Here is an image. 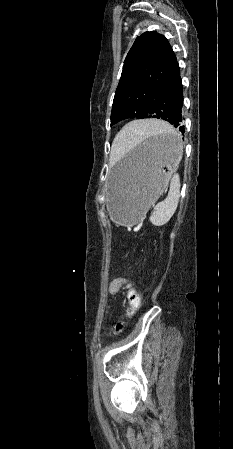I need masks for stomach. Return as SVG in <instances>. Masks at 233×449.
Masks as SVG:
<instances>
[{
    "mask_svg": "<svg viewBox=\"0 0 233 449\" xmlns=\"http://www.w3.org/2000/svg\"><path fill=\"white\" fill-rule=\"evenodd\" d=\"M181 158L174 133H159L113 168L108 180L109 210L113 220L132 226L140 222L167 186Z\"/></svg>",
    "mask_w": 233,
    "mask_h": 449,
    "instance_id": "0dacf381",
    "label": "stomach"
}]
</instances>
